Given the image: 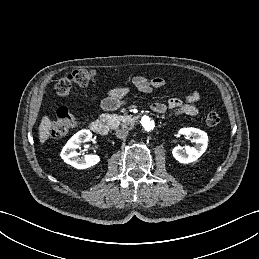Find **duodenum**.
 <instances>
[{
  "label": "duodenum",
  "mask_w": 259,
  "mask_h": 259,
  "mask_svg": "<svg viewBox=\"0 0 259 259\" xmlns=\"http://www.w3.org/2000/svg\"><path fill=\"white\" fill-rule=\"evenodd\" d=\"M141 119V116H135L128 120V125L132 126L136 123H138ZM90 127L93 132L100 136H106L108 134L109 128L104 120L102 119H94L90 123Z\"/></svg>",
  "instance_id": "410a0bca"
}]
</instances>
